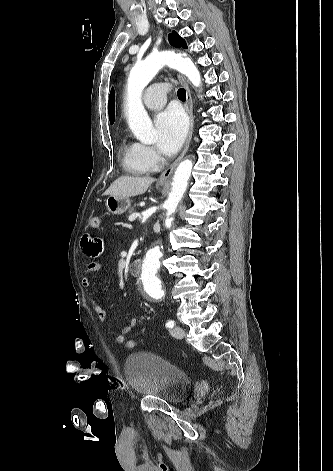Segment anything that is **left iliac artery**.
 I'll list each match as a JSON object with an SVG mask.
<instances>
[{"label":"left iliac artery","instance_id":"1","mask_svg":"<svg viewBox=\"0 0 333 471\" xmlns=\"http://www.w3.org/2000/svg\"><path fill=\"white\" fill-rule=\"evenodd\" d=\"M174 325H175V322H174L173 320H169V321L166 323V326H167L168 328H173Z\"/></svg>","mask_w":333,"mask_h":471}]
</instances>
